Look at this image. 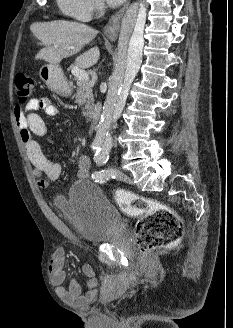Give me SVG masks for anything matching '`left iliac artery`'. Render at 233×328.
<instances>
[{
	"label": "left iliac artery",
	"mask_w": 233,
	"mask_h": 328,
	"mask_svg": "<svg viewBox=\"0 0 233 328\" xmlns=\"http://www.w3.org/2000/svg\"><path fill=\"white\" fill-rule=\"evenodd\" d=\"M109 152V146L99 148L94 155V161L98 165H104L109 159ZM110 176L111 174L108 171H96L92 174V178L98 183H104Z\"/></svg>",
	"instance_id": "44dca946"
}]
</instances>
